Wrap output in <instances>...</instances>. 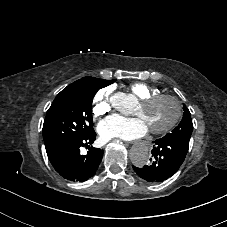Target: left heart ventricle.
I'll return each instance as SVG.
<instances>
[{
  "label": "left heart ventricle",
  "mask_w": 227,
  "mask_h": 227,
  "mask_svg": "<svg viewBox=\"0 0 227 227\" xmlns=\"http://www.w3.org/2000/svg\"><path fill=\"white\" fill-rule=\"evenodd\" d=\"M174 114V104L168 99H162L145 108L139 106L135 115L145 122L148 129H161L172 120Z\"/></svg>",
  "instance_id": "obj_1"
}]
</instances>
